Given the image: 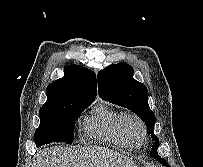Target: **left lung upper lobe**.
Masks as SVG:
<instances>
[{
  "mask_svg": "<svg viewBox=\"0 0 203 167\" xmlns=\"http://www.w3.org/2000/svg\"><path fill=\"white\" fill-rule=\"evenodd\" d=\"M133 74V68L125 63L106 67L97 75L98 93L102 99L130 109L145 122L147 132L155 141L151 156L164 163L157 153L159 139L154 134L156 117L148 104V90L144 84L133 79Z\"/></svg>",
  "mask_w": 203,
  "mask_h": 167,
  "instance_id": "obj_1",
  "label": "left lung upper lobe"
}]
</instances>
